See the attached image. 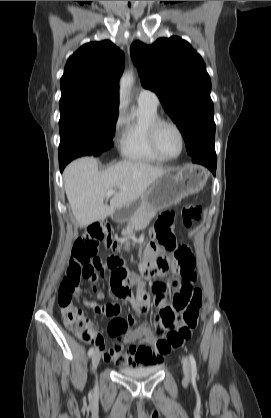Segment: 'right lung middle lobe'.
<instances>
[{
	"label": "right lung middle lobe",
	"mask_w": 271,
	"mask_h": 418,
	"mask_svg": "<svg viewBox=\"0 0 271 418\" xmlns=\"http://www.w3.org/2000/svg\"><path fill=\"white\" fill-rule=\"evenodd\" d=\"M118 107L85 102L60 104L59 157L100 156L113 146Z\"/></svg>",
	"instance_id": "obj_1"
}]
</instances>
